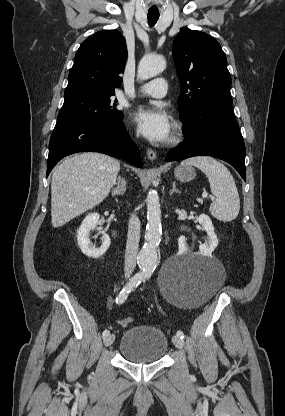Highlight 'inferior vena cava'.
Masks as SVG:
<instances>
[{"instance_id":"602c4592","label":"inferior vena cava","mask_w":285,"mask_h":416,"mask_svg":"<svg viewBox=\"0 0 285 416\" xmlns=\"http://www.w3.org/2000/svg\"><path fill=\"white\" fill-rule=\"evenodd\" d=\"M140 240V220L137 216H131L128 224L127 246L125 252V272H133L138 254V244Z\"/></svg>"}]
</instances>
